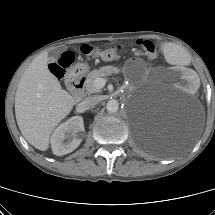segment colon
I'll list each match as a JSON object with an SVG mask.
<instances>
[{"instance_id": "1", "label": "colon", "mask_w": 215, "mask_h": 215, "mask_svg": "<svg viewBox=\"0 0 215 215\" xmlns=\"http://www.w3.org/2000/svg\"><path fill=\"white\" fill-rule=\"evenodd\" d=\"M145 54L154 58L156 56V47L149 41L141 42ZM81 53L85 55H94L103 60L111 61L117 58L118 49L116 47L97 48L89 44H83L80 47ZM74 56L70 52L64 53L57 61L50 64L51 72L58 78L63 77L64 70L73 63Z\"/></svg>"}]
</instances>
